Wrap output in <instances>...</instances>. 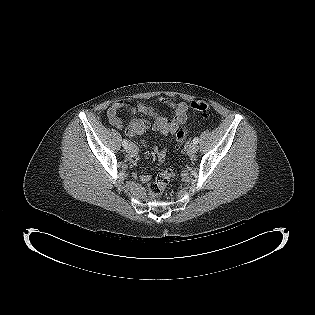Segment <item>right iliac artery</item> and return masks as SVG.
<instances>
[{"instance_id": "1", "label": "right iliac artery", "mask_w": 315, "mask_h": 315, "mask_svg": "<svg viewBox=\"0 0 315 315\" xmlns=\"http://www.w3.org/2000/svg\"><path fill=\"white\" fill-rule=\"evenodd\" d=\"M122 145H123V147H124V148H126V147H127L128 142H127V140H126V139H124V140H123Z\"/></svg>"}]
</instances>
